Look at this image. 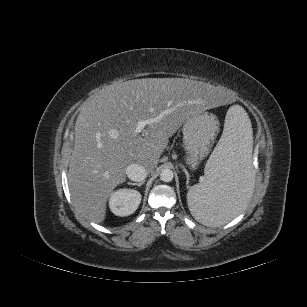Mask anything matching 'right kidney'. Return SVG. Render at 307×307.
<instances>
[{
    "label": "right kidney",
    "mask_w": 307,
    "mask_h": 307,
    "mask_svg": "<svg viewBox=\"0 0 307 307\" xmlns=\"http://www.w3.org/2000/svg\"><path fill=\"white\" fill-rule=\"evenodd\" d=\"M141 202V194L134 189H119L111 194L109 205L117 216L133 214Z\"/></svg>",
    "instance_id": "ca27d5eb"
}]
</instances>
